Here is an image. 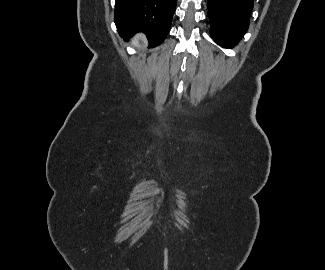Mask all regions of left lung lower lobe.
Instances as JSON below:
<instances>
[{
  "label": "left lung lower lobe",
  "mask_w": 325,
  "mask_h": 270,
  "mask_svg": "<svg viewBox=\"0 0 325 270\" xmlns=\"http://www.w3.org/2000/svg\"><path fill=\"white\" fill-rule=\"evenodd\" d=\"M253 0H208L211 35L222 47L231 48L249 27Z\"/></svg>",
  "instance_id": "obj_1"
}]
</instances>
